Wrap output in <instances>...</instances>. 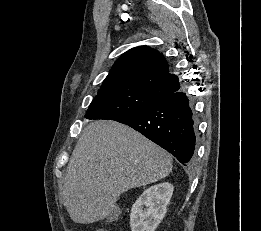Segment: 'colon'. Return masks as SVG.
I'll return each mask as SVG.
<instances>
[{"mask_svg": "<svg viewBox=\"0 0 261 231\" xmlns=\"http://www.w3.org/2000/svg\"><path fill=\"white\" fill-rule=\"evenodd\" d=\"M108 214L111 219H117L120 216V209L118 207H114L109 210ZM97 231H106V230L98 229Z\"/></svg>", "mask_w": 261, "mask_h": 231, "instance_id": "colon-1", "label": "colon"}]
</instances>
